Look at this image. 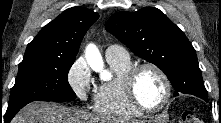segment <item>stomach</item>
Returning a JSON list of instances; mask_svg holds the SVG:
<instances>
[{
  "label": "stomach",
  "instance_id": "1",
  "mask_svg": "<svg viewBox=\"0 0 221 123\" xmlns=\"http://www.w3.org/2000/svg\"><path fill=\"white\" fill-rule=\"evenodd\" d=\"M160 122H161L160 118L155 117V118H152V119L148 120L147 123H160Z\"/></svg>",
  "mask_w": 221,
  "mask_h": 123
}]
</instances>
